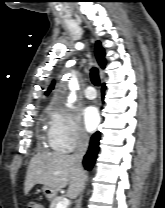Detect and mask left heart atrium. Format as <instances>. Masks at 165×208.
Masks as SVG:
<instances>
[{"label": "left heart atrium", "mask_w": 165, "mask_h": 208, "mask_svg": "<svg viewBox=\"0 0 165 208\" xmlns=\"http://www.w3.org/2000/svg\"><path fill=\"white\" fill-rule=\"evenodd\" d=\"M83 121L85 128L88 131H93L99 124L100 116L98 109L94 106H89L83 111Z\"/></svg>", "instance_id": "obj_1"}]
</instances>
